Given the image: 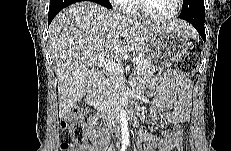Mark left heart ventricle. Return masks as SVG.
<instances>
[{
	"instance_id": "b2bd125f",
	"label": "left heart ventricle",
	"mask_w": 231,
	"mask_h": 151,
	"mask_svg": "<svg viewBox=\"0 0 231 151\" xmlns=\"http://www.w3.org/2000/svg\"><path fill=\"white\" fill-rule=\"evenodd\" d=\"M146 13L154 16H164L174 10V0H143Z\"/></svg>"
}]
</instances>
